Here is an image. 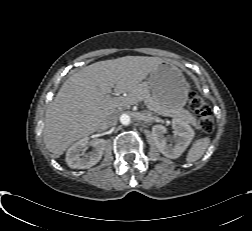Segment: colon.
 I'll return each instance as SVG.
<instances>
[{"label":"colon","mask_w":252,"mask_h":231,"mask_svg":"<svg viewBox=\"0 0 252 231\" xmlns=\"http://www.w3.org/2000/svg\"><path fill=\"white\" fill-rule=\"evenodd\" d=\"M188 105L190 110L197 116L201 130L205 133H211L214 129V119L206 102L201 96L191 92L188 96Z\"/></svg>","instance_id":"obj_1"}]
</instances>
